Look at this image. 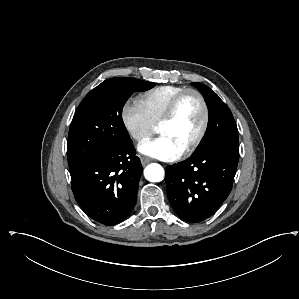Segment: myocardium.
Wrapping results in <instances>:
<instances>
[{"instance_id": "myocardium-1", "label": "myocardium", "mask_w": 299, "mask_h": 299, "mask_svg": "<svg viewBox=\"0 0 299 299\" xmlns=\"http://www.w3.org/2000/svg\"><path fill=\"white\" fill-rule=\"evenodd\" d=\"M189 95H195L199 99V101L202 105V109H203V119H202V123H201L200 129H199L197 135L188 144V146L183 150V154H189L192 151H194L199 146V144L202 142V140L207 132V129L209 126V121H210V111H209V106L207 104V101H206L205 97L203 96V94L196 89H190V88L185 89L184 91L179 93L172 100V102L168 106L165 114L163 115V117L161 118V120L158 123V128H159L162 125L172 122L176 116V113L179 109L180 104Z\"/></svg>"}]
</instances>
